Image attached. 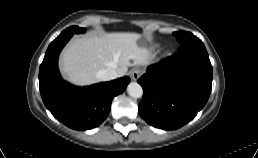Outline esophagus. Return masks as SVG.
Instances as JSON below:
<instances>
[{"instance_id":"obj_1","label":"esophagus","mask_w":258,"mask_h":158,"mask_svg":"<svg viewBox=\"0 0 258 158\" xmlns=\"http://www.w3.org/2000/svg\"><path fill=\"white\" fill-rule=\"evenodd\" d=\"M142 74V70L139 68H134L131 72H130V77L132 80H137Z\"/></svg>"}]
</instances>
